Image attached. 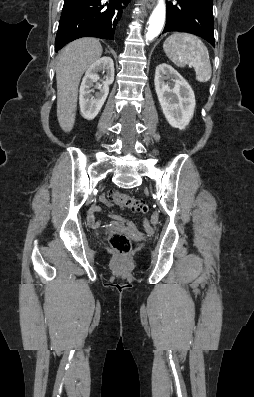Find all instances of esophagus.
I'll return each mask as SVG.
<instances>
[{"instance_id": "obj_1", "label": "esophagus", "mask_w": 254, "mask_h": 397, "mask_svg": "<svg viewBox=\"0 0 254 397\" xmlns=\"http://www.w3.org/2000/svg\"><path fill=\"white\" fill-rule=\"evenodd\" d=\"M144 3L146 4L148 9H151L155 4V0H144Z\"/></svg>"}]
</instances>
